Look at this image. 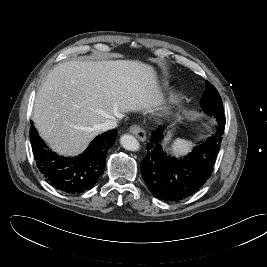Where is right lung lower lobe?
<instances>
[{
	"mask_svg": "<svg viewBox=\"0 0 267 267\" xmlns=\"http://www.w3.org/2000/svg\"><path fill=\"white\" fill-rule=\"evenodd\" d=\"M116 136L117 131L110 130L96 137L78 157L65 158L46 148L33 123L30 129L32 149L40 172L52 186L69 194L83 193L96 184L104 172L106 155Z\"/></svg>",
	"mask_w": 267,
	"mask_h": 267,
	"instance_id": "1",
	"label": "right lung lower lobe"
}]
</instances>
